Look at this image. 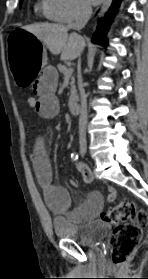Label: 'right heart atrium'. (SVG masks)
Masks as SVG:
<instances>
[{
	"mask_svg": "<svg viewBox=\"0 0 148 279\" xmlns=\"http://www.w3.org/2000/svg\"><path fill=\"white\" fill-rule=\"evenodd\" d=\"M49 11L54 20L69 24L85 17L89 7L82 0H49Z\"/></svg>",
	"mask_w": 148,
	"mask_h": 279,
	"instance_id": "d8ad5b80",
	"label": "right heart atrium"
}]
</instances>
